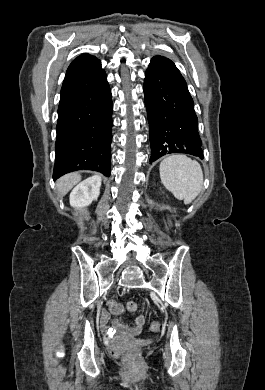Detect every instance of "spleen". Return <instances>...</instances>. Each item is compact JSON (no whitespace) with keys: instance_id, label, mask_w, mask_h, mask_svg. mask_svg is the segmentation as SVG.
<instances>
[{"instance_id":"spleen-1","label":"spleen","mask_w":265,"mask_h":390,"mask_svg":"<svg viewBox=\"0 0 265 390\" xmlns=\"http://www.w3.org/2000/svg\"><path fill=\"white\" fill-rule=\"evenodd\" d=\"M160 178L163 185L178 200L189 204L200 193L203 172L200 164L184 155H171L160 163Z\"/></svg>"}]
</instances>
